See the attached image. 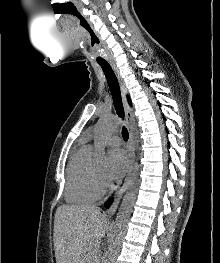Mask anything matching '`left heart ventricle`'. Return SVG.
<instances>
[{"label":"left heart ventricle","instance_id":"left-heart-ventricle-1","mask_svg":"<svg viewBox=\"0 0 220 263\" xmlns=\"http://www.w3.org/2000/svg\"><path fill=\"white\" fill-rule=\"evenodd\" d=\"M97 173L100 175H104V169H96Z\"/></svg>","mask_w":220,"mask_h":263}]
</instances>
